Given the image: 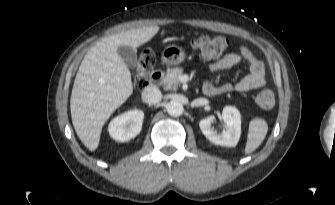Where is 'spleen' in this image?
I'll return each mask as SVG.
<instances>
[{
	"label": "spleen",
	"instance_id": "obj_1",
	"mask_svg": "<svg viewBox=\"0 0 335 205\" xmlns=\"http://www.w3.org/2000/svg\"><path fill=\"white\" fill-rule=\"evenodd\" d=\"M268 131V124L262 118H254L250 121L247 143L245 146V153L250 154L256 150L263 140Z\"/></svg>",
	"mask_w": 335,
	"mask_h": 205
}]
</instances>
